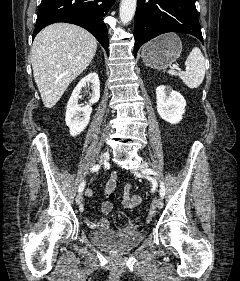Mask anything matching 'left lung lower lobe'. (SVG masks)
I'll use <instances>...</instances> for the list:
<instances>
[{
    "mask_svg": "<svg viewBox=\"0 0 240 281\" xmlns=\"http://www.w3.org/2000/svg\"><path fill=\"white\" fill-rule=\"evenodd\" d=\"M196 0H137L134 55L152 38L167 32L191 34L203 42Z\"/></svg>",
    "mask_w": 240,
    "mask_h": 281,
    "instance_id": "left-lung-lower-lobe-1",
    "label": "left lung lower lobe"
}]
</instances>
